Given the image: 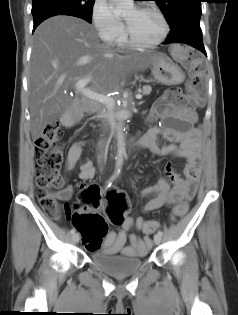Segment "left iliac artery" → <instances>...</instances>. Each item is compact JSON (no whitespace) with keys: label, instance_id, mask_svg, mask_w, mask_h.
<instances>
[{"label":"left iliac artery","instance_id":"1","mask_svg":"<svg viewBox=\"0 0 238 315\" xmlns=\"http://www.w3.org/2000/svg\"><path fill=\"white\" fill-rule=\"evenodd\" d=\"M157 234H159L160 236H162V235H163V232H162L161 230H159V231L157 232Z\"/></svg>","mask_w":238,"mask_h":315}]
</instances>
